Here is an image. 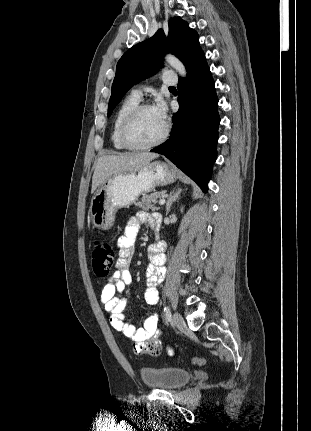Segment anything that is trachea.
I'll return each mask as SVG.
<instances>
[{
  "instance_id": "trachea-1",
  "label": "trachea",
  "mask_w": 311,
  "mask_h": 431,
  "mask_svg": "<svg viewBox=\"0 0 311 431\" xmlns=\"http://www.w3.org/2000/svg\"><path fill=\"white\" fill-rule=\"evenodd\" d=\"M173 88H175V87H169V89H173Z\"/></svg>"
}]
</instances>
